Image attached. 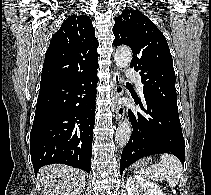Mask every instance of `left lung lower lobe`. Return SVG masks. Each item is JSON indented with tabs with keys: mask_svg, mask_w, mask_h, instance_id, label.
<instances>
[{
	"mask_svg": "<svg viewBox=\"0 0 211 195\" xmlns=\"http://www.w3.org/2000/svg\"><path fill=\"white\" fill-rule=\"evenodd\" d=\"M144 115L138 113V123L130 111L133 132L124 147L120 161V174L124 169L148 155L168 153L184 164L185 141L182 134L178 109L161 101L145 97L143 101L133 96Z\"/></svg>",
	"mask_w": 211,
	"mask_h": 195,
	"instance_id": "0a47b994",
	"label": "left lung lower lobe"
}]
</instances>
